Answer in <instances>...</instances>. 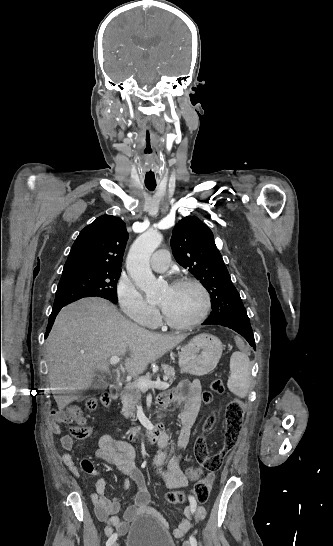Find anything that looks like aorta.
Instances as JSON below:
<instances>
[{"label":"aorta","instance_id":"obj_1","mask_svg":"<svg viewBox=\"0 0 333 546\" xmlns=\"http://www.w3.org/2000/svg\"><path fill=\"white\" fill-rule=\"evenodd\" d=\"M161 242L162 235L149 229L134 241L126 260L128 273L135 285L145 292L148 300L155 299L158 294L157 280L151 271L149 260Z\"/></svg>","mask_w":333,"mask_h":546}]
</instances>
